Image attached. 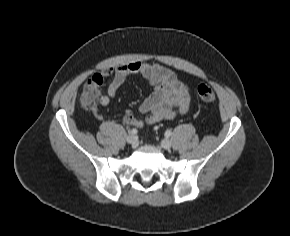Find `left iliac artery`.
Masks as SVG:
<instances>
[{
  "label": "left iliac artery",
  "instance_id": "left-iliac-artery-1",
  "mask_svg": "<svg viewBox=\"0 0 290 236\" xmlns=\"http://www.w3.org/2000/svg\"><path fill=\"white\" fill-rule=\"evenodd\" d=\"M171 134H172L171 130H167V131L165 132V135H166V136H170Z\"/></svg>",
  "mask_w": 290,
  "mask_h": 236
}]
</instances>
